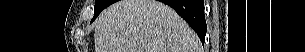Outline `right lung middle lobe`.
<instances>
[{"label":"right lung middle lobe","instance_id":"1","mask_svg":"<svg viewBox=\"0 0 305 52\" xmlns=\"http://www.w3.org/2000/svg\"><path fill=\"white\" fill-rule=\"evenodd\" d=\"M110 0H96L95 1V10L93 20L98 16V14L106 7Z\"/></svg>","mask_w":305,"mask_h":52}]
</instances>
